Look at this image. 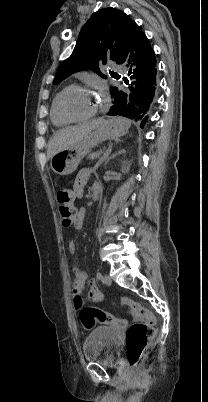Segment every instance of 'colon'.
Listing matches in <instances>:
<instances>
[{
  "label": "colon",
  "instance_id": "5ec220e1",
  "mask_svg": "<svg viewBox=\"0 0 208 402\" xmlns=\"http://www.w3.org/2000/svg\"><path fill=\"white\" fill-rule=\"evenodd\" d=\"M75 196V188L70 186H64L57 192L61 224L66 228H70L78 222L74 207ZM120 303L126 306L129 300L123 297ZM78 306L80 307V323L85 331L92 330L98 324L115 325L119 327L125 325V322L113 313L103 311L97 307L84 305L81 297H79ZM132 308L138 315L147 318L146 323L128 324L127 326L128 360L131 364H135L141 359L149 339L153 336L155 320L150 318L147 310L142 308L139 304L132 305Z\"/></svg>",
  "mask_w": 208,
  "mask_h": 402
}]
</instances>
